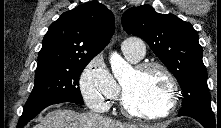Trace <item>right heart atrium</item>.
I'll list each match as a JSON object with an SVG mask.
<instances>
[{
    "label": "right heart atrium",
    "instance_id": "right-heart-atrium-1",
    "mask_svg": "<svg viewBox=\"0 0 221 128\" xmlns=\"http://www.w3.org/2000/svg\"><path fill=\"white\" fill-rule=\"evenodd\" d=\"M80 90L88 107L104 112L118 95V85L102 55H95L86 64L80 76Z\"/></svg>",
    "mask_w": 221,
    "mask_h": 128
}]
</instances>
